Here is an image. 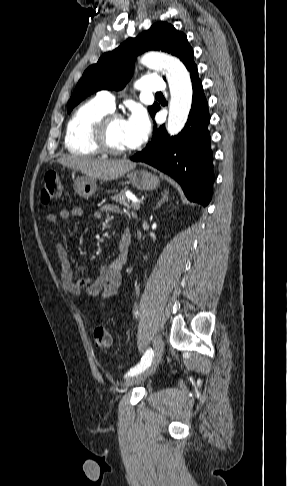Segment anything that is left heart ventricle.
Listing matches in <instances>:
<instances>
[{
    "label": "left heart ventricle",
    "instance_id": "obj_1",
    "mask_svg": "<svg viewBox=\"0 0 287 486\" xmlns=\"http://www.w3.org/2000/svg\"><path fill=\"white\" fill-rule=\"evenodd\" d=\"M108 142L117 149L129 148L125 130V120L119 119L111 123L108 130Z\"/></svg>",
    "mask_w": 287,
    "mask_h": 486
}]
</instances>
